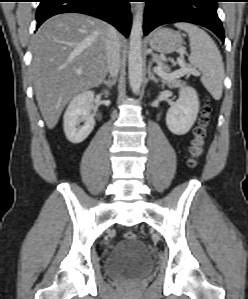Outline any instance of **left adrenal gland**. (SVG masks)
<instances>
[{"label": "left adrenal gland", "mask_w": 248, "mask_h": 299, "mask_svg": "<svg viewBox=\"0 0 248 299\" xmlns=\"http://www.w3.org/2000/svg\"><path fill=\"white\" fill-rule=\"evenodd\" d=\"M151 67H152V61H150L148 65V78L157 83L158 79L155 77L154 73L152 72Z\"/></svg>", "instance_id": "left-adrenal-gland-1"}]
</instances>
